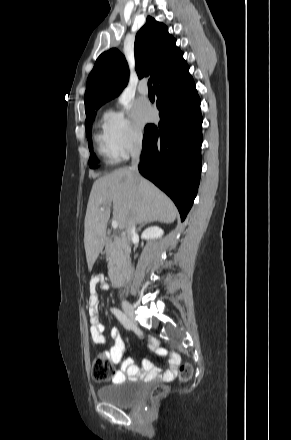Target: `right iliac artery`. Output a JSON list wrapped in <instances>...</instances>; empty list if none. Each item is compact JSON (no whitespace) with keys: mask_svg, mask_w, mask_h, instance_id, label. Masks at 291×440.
Wrapping results in <instances>:
<instances>
[{"mask_svg":"<svg viewBox=\"0 0 291 440\" xmlns=\"http://www.w3.org/2000/svg\"><path fill=\"white\" fill-rule=\"evenodd\" d=\"M111 311L126 329L132 328V322L122 311L117 308H112Z\"/></svg>","mask_w":291,"mask_h":440,"instance_id":"1","label":"right iliac artery"}]
</instances>
